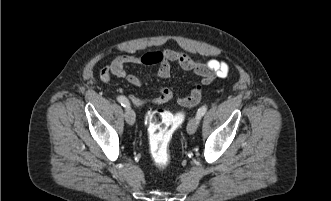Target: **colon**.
<instances>
[{"label":"colon","instance_id":"1","mask_svg":"<svg viewBox=\"0 0 331 201\" xmlns=\"http://www.w3.org/2000/svg\"><path fill=\"white\" fill-rule=\"evenodd\" d=\"M203 82L198 83L191 94L181 98L184 106L196 105L201 99ZM184 120V113L171 114L165 110H155L147 118L150 153L155 165L164 168L170 161L169 144L175 129Z\"/></svg>","mask_w":331,"mask_h":201}]
</instances>
